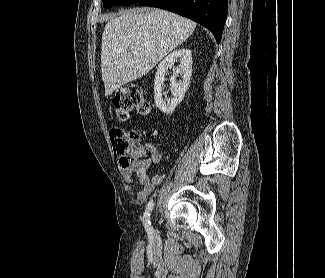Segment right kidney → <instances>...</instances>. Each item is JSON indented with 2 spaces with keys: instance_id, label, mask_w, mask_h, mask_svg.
Wrapping results in <instances>:
<instances>
[{
  "instance_id": "ca27d5eb",
  "label": "right kidney",
  "mask_w": 325,
  "mask_h": 278,
  "mask_svg": "<svg viewBox=\"0 0 325 278\" xmlns=\"http://www.w3.org/2000/svg\"><path fill=\"white\" fill-rule=\"evenodd\" d=\"M175 61H180V64L175 67ZM169 68H173V75L170 78L171 99L162 98V86L165 81V74ZM182 76V80H176L178 75ZM192 75V54L187 48H182L173 51L163 59L158 65L155 80H154V99L156 106L161 112L171 114L176 106L183 100L184 95L189 87L190 78Z\"/></svg>"
}]
</instances>
